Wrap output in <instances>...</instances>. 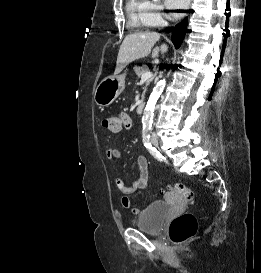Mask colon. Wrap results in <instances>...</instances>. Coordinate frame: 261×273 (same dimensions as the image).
<instances>
[{"label":"colon","instance_id":"obj_1","mask_svg":"<svg viewBox=\"0 0 261 273\" xmlns=\"http://www.w3.org/2000/svg\"><path fill=\"white\" fill-rule=\"evenodd\" d=\"M103 126L110 131L121 129V120L117 116H109L103 120ZM168 193L177 195L186 203L192 204L195 196L193 191L184 184H176L168 189ZM197 233V220L191 213H184L176 217L170 224L169 236L174 243L180 244L192 239Z\"/></svg>","mask_w":261,"mask_h":273}]
</instances>
